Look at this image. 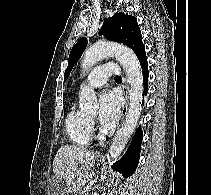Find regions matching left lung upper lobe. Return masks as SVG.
I'll return each instance as SVG.
<instances>
[{"instance_id": "5c2ea615", "label": "left lung upper lobe", "mask_w": 211, "mask_h": 195, "mask_svg": "<svg viewBox=\"0 0 211 195\" xmlns=\"http://www.w3.org/2000/svg\"><path fill=\"white\" fill-rule=\"evenodd\" d=\"M99 34L104 35V37L110 41H115L128 46L136 53L138 58L146 55L145 46L141 39V31L135 16L117 12L112 17L104 20ZM86 46V38H81L71 49L68 59V67L64 74L65 81L67 80L74 64L81 57Z\"/></svg>"}]
</instances>
